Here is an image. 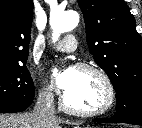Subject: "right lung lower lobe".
Here are the masks:
<instances>
[{"mask_svg":"<svg viewBox=\"0 0 142 128\" xmlns=\"http://www.w3.org/2000/svg\"><path fill=\"white\" fill-rule=\"evenodd\" d=\"M28 105L16 103H0V113L20 112L27 109Z\"/></svg>","mask_w":142,"mask_h":128,"instance_id":"right-lung-lower-lobe-1","label":"right lung lower lobe"}]
</instances>
